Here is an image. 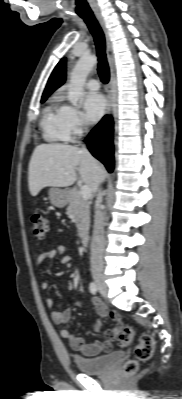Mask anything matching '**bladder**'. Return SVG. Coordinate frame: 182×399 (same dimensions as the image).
Wrapping results in <instances>:
<instances>
[{
    "label": "bladder",
    "mask_w": 182,
    "mask_h": 399,
    "mask_svg": "<svg viewBox=\"0 0 182 399\" xmlns=\"http://www.w3.org/2000/svg\"><path fill=\"white\" fill-rule=\"evenodd\" d=\"M123 357L122 351H114L93 358L74 357L78 370L84 374H103Z\"/></svg>",
    "instance_id": "31cf9c89"
}]
</instances>
